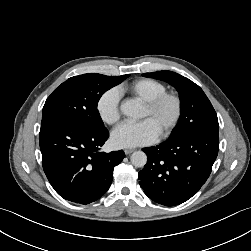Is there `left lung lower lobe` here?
Masks as SVG:
<instances>
[{"mask_svg":"<svg viewBox=\"0 0 251 251\" xmlns=\"http://www.w3.org/2000/svg\"><path fill=\"white\" fill-rule=\"evenodd\" d=\"M219 148L217 131H197L156 147L144 148L148 160L139 184L153 201L179 205L194 196L208 179Z\"/></svg>","mask_w":251,"mask_h":251,"instance_id":"left-lung-lower-lobe-1","label":"left lung lower lobe"}]
</instances>
